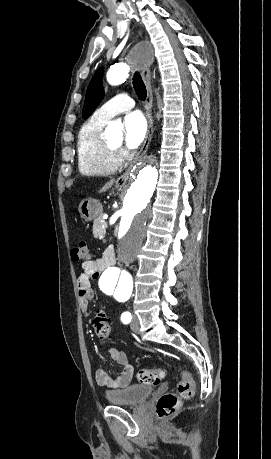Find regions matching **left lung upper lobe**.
Instances as JSON below:
<instances>
[{
	"mask_svg": "<svg viewBox=\"0 0 271 459\" xmlns=\"http://www.w3.org/2000/svg\"><path fill=\"white\" fill-rule=\"evenodd\" d=\"M104 96V89L102 85V69H98L93 78L91 79L82 111V116L86 119L100 104Z\"/></svg>",
	"mask_w": 271,
	"mask_h": 459,
	"instance_id": "left-lung-upper-lobe-1",
	"label": "left lung upper lobe"
}]
</instances>
